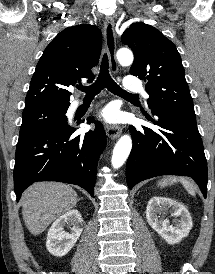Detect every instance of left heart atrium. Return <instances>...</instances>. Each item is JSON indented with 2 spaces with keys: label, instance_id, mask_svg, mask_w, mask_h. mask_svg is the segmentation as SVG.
<instances>
[{
  "label": "left heart atrium",
  "instance_id": "left-heart-atrium-1",
  "mask_svg": "<svg viewBox=\"0 0 215 274\" xmlns=\"http://www.w3.org/2000/svg\"><path fill=\"white\" fill-rule=\"evenodd\" d=\"M100 117L106 123H115L118 120L117 111L111 106H108L105 109H103L100 114Z\"/></svg>",
  "mask_w": 215,
  "mask_h": 274
}]
</instances>
